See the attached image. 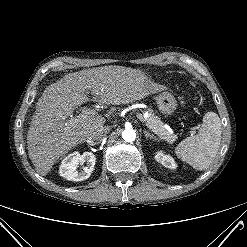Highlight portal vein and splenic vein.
<instances>
[{"label":"portal vein and splenic vein","mask_w":247,"mask_h":247,"mask_svg":"<svg viewBox=\"0 0 247 247\" xmlns=\"http://www.w3.org/2000/svg\"><path fill=\"white\" fill-rule=\"evenodd\" d=\"M95 114V110L94 109H84L82 110V112L77 115L75 118L71 119V121H75V122H80L88 117H91ZM136 116L139 120L144 121V117L142 116V114L140 113H136Z\"/></svg>","instance_id":"portal-vein-and-splenic-vein-1"}]
</instances>
